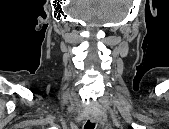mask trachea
<instances>
[{"label":"trachea","instance_id":"1","mask_svg":"<svg viewBox=\"0 0 169 129\" xmlns=\"http://www.w3.org/2000/svg\"><path fill=\"white\" fill-rule=\"evenodd\" d=\"M94 128H95V124L90 122V120H88L84 125V129H94Z\"/></svg>","mask_w":169,"mask_h":129}]
</instances>
